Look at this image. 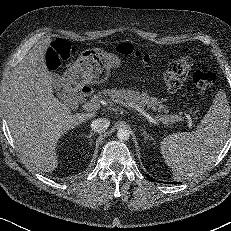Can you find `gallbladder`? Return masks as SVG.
I'll list each match as a JSON object with an SVG mask.
<instances>
[{
	"label": "gallbladder",
	"mask_w": 231,
	"mask_h": 231,
	"mask_svg": "<svg viewBox=\"0 0 231 231\" xmlns=\"http://www.w3.org/2000/svg\"><path fill=\"white\" fill-rule=\"evenodd\" d=\"M53 81V87L54 88H59L60 87V76L58 74H51L50 75Z\"/></svg>",
	"instance_id": "1"
}]
</instances>
